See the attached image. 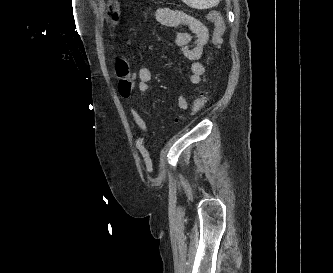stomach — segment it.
<instances>
[{
    "label": "stomach",
    "instance_id": "stomach-1",
    "mask_svg": "<svg viewBox=\"0 0 333 273\" xmlns=\"http://www.w3.org/2000/svg\"><path fill=\"white\" fill-rule=\"evenodd\" d=\"M117 6L116 0H112L111 5L109 4L108 10L111 14L110 16H106V23H123V16H112V10H115Z\"/></svg>",
    "mask_w": 333,
    "mask_h": 273
}]
</instances>
